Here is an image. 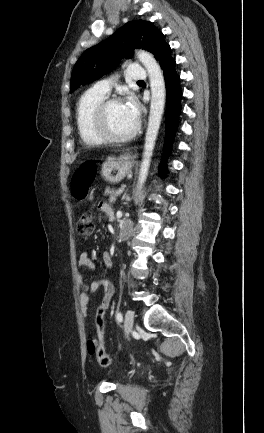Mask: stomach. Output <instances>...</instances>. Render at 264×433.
Instances as JSON below:
<instances>
[{
	"label": "stomach",
	"instance_id": "1",
	"mask_svg": "<svg viewBox=\"0 0 264 433\" xmlns=\"http://www.w3.org/2000/svg\"><path fill=\"white\" fill-rule=\"evenodd\" d=\"M134 158L129 153L122 154L119 158L108 157L102 164L101 176L111 184H117L131 172Z\"/></svg>",
	"mask_w": 264,
	"mask_h": 433
}]
</instances>
